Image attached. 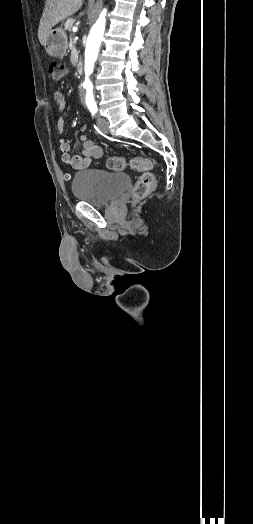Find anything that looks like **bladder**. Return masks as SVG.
I'll return each instance as SVG.
<instances>
[{
    "label": "bladder",
    "mask_w": 253,
    "mask_h": 524,
    "mask_svg": "<svg viewBox=\"0 0 253 524\" xmlns=\"http://www.w3.org/2000/svg\"><path fill=\"white\" fill-rule=\"evenodd\" d=\"M130 184L128 174L86 169L74 174L71 187L77 200L102 206L116 200Z\"/></svg>",
    "instance_id": "obj_1"
}]
</instances>
